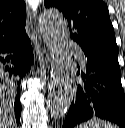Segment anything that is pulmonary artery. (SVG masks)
<instances>
[{
  "label": "pulmonary artery",
  "mask_w": 125,
  "mask_h": 128,
  "mask_svg": "<svg viewBox=\"0 0 125 128\" xmlns=\"http://www.w3.org/2000/svg\"><path fill=\"white\" fill-rule=\"evenodd\" d=\"M71 45L73 46V44H71ZM74 53H75V56L77 57V59L79 60V62L81 64H84L85 63V59H84L83 52L81 50H79V49H75Z\"/></svg>",
  "instance_id": "e3ab8cb5"
}]
</instances>
